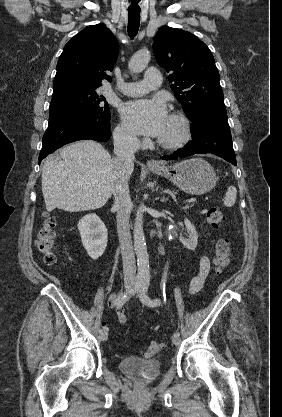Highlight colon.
Returning <instances> with one entry per match:
<instances>
[{"label":"colon","mask_w":282,"mask_h":417,"mask_svg":"<svg viewBox=\"0 0 282 417\" xmlns=\"http://www.w3.org/2000/svg\"><path fill=\"white\" fill-rule=\"evenodd\" d=\"M206 219L213 227H221L227 223V215L220 209L210 208L206 212ZM56 221L46 216L37 233L36 247L45 264L52 265L56 261ZM231 260V245L225 238H220L215 243L213 266L216 270L226 268ZM163 348L161 342L149 343L143 351V356L152 358Z\"/></svg>","instance_id":"colon-1"}]
</instances>
